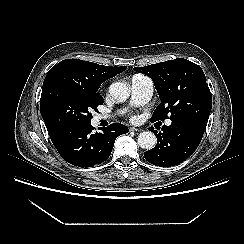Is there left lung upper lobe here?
<instances>
[{
    "instance_id": "1",
    "label": "left lung upper lobe",
    "mask_w": 244,
    "mask_h": 244,
    "mask_svg": "<svg viewBox=\"0 0 244 244\" xmlns=\"http://www.w3.org/2000/svg\"><path fill=\"white\" fill-rule=\"evenodd\" d=\"M134 70L149 76L159 94L161 103L152 122L165 120L169 115L171 121H192L206 127L212 96L200 66L177 58Z\"/></svg>"
}]
</instances>
